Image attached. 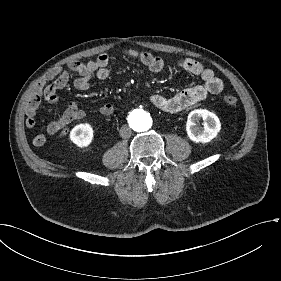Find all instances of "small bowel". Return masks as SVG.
Segmentation results:
<instances>
[{"instance_id":"1","label":"small bowel","mask_w":281,"mask_h":281,"mask_svg":"<svg viewBox=\"0 0 281 281\" xmlns=\"http://www.w3.org/2000/svg\"><path fill=\"white\" fill-rule=\"evenodd\" d=\"M123 58L137 60L154 73L161 72L165 67V62L161 57L132 48L123 51ZM109 64L110 57L105 53L88 62L72 61L69 64V69L78 75L74 81L75 88L78 90L88 89L90 78L93 75L99 79H106L110 74ZM178 67L183 72L200 77L202 83L172 96H164L158 93L151 94L149 98L151 104L160 111L167 114H177L207 96L217 95L223 91L224 83L222 79L212 69L203 66L201 63L185 58L178 61ZM69 80V72L61 67L52 68L44 75L26 106L27 128L33 129L36 126L35 116L41 99L44 98L51 104L58 103L60 100L58 91L63 89L69 83ZM114 111L115 108L110 103H105L98 108V112L104 116H110ZM85 114V111L75 102H69L62 116L47 125L46 133L55 135L64 130L71 122L84 118ZM45 141L46 136L43 133H37L33 137V143L36 146H42Z\"/></svg>"}]
</instances>
